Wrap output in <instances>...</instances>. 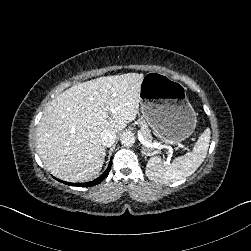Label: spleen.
Instances as JSON below:
<instances>
[{
    "label": "spleen",
    "instance_id": "obj_1",
    "mask_svg": "<svg viewBox=\"0 0 251 251\" xmlns=\"http://www.w3.org/2000/svg\"><path fill=\"white\" fill-rule=\"evenodd\" d=\"M210 142V130L206 129L197 139L193 150L179 156L172 165H166L159 157H152L147 164L146 175L158 183L174 182L193 174L204 161Z\"/></svg>",
    "mask_w": 251,
    "mask_h": 251
}]
</instances>
